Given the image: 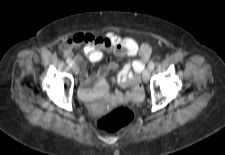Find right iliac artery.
<instances>
[{
    "label": "right iliac artery",
    "mask_w": 225,
    "mask_h": 155,
    "mask_svg": "<svg viewBox=\"0 0 225 155\" xmlns=\"http://www.w3.org/2000/svg\"><path fill=\"white\" fill-rule=\"evenodd\" d=\"M66 62H67V64L70 65V66L73 64V61H72L70 58H67V59H66Z\"/></svg>",
    "instance_id": "obj_1"
}]
</instances>
